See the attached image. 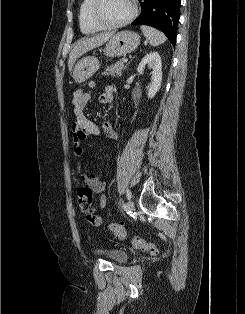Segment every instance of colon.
Here are the masks:
<instances>
[{
  "label": "colon",
  "mask_w": 245,
  "mask_h": 314,
  "mask_svg": "<svg viewBox=\"0 0 245 314\" xmlns=\"http://www.w3.org/2000/svg\"><path fill=\"white\" fill-rule=\"evenodd\" d=\"M77 201L82 212L88 214L92 211L93 191L90 187H80L77 191ZM108 230L112 232L118 239L126 237V229L123 225L118 223H111L108 225ZM133 247L148 251L152 255L159 253V247L154 243L147 242L142 238L136 236L132 239Z\"/></svg>",
  "instance_id": "5ec220e1"
}]
</instances>
